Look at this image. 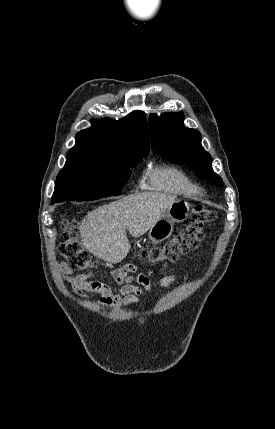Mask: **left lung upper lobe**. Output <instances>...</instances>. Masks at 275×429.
Masks as SVG:
<instances>
[{
	"label": "left lung upper lobe",
	"mask_w": 275,
	"mask_h": 429,
	"mask_svg": "<svg viewBox=\"0 0 275 429\" xmlns=\"http://www.w3.org/2000/svg\"><path fill=\"white\" fill-rule=\"evenodd\" d=\"M181 113L151 114L149 127L156 152L176 164H188L191 170L212 185L222 187V179L213 171L210 154L201 145V134L185 128Z\"/></svg>",
	"instance_id": "1"
}]
</instances>
